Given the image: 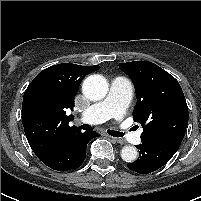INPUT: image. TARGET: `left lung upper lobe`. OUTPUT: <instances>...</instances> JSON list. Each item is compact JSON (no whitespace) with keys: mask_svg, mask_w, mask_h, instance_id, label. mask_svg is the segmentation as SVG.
<instances>
[{"mask_svg":"<svg viewBox=\"0 0 201 201\" xmlns=\"http://www.w3.org/2000/svg\"><path fill=\"white\" fill-rule=\"evenodd\" d=\"M136 91L135 122L144 127L141 141L165 137L183 139L188 125V107L178 81L149 61L119 63Z\"/></svg>","mask_w":201,"mask_h":201,"instance_id":"5c2ea615","label":"left lung upper lobe"}]
</instances>
